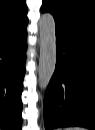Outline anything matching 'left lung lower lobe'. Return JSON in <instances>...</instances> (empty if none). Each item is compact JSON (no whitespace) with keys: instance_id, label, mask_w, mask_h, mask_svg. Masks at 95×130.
Listing matches in <instances>:
<instances>
[{"instance_id":"obj_1","label":"left lung lower lobe","mask_w":95,"mask_h":130,"mask_svg":"<svg viewBox=\"0 0 95 130\" xmlns=\"http://www.w3.org/2000/svg\"><path fill=\"white\" fill-rule=\"evenodd\" d=\"M56 67L44 98L46 130L95 129V37L56 28Z\"/></svg>"}]
</instances>
